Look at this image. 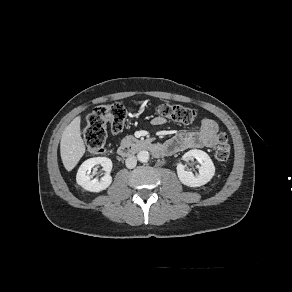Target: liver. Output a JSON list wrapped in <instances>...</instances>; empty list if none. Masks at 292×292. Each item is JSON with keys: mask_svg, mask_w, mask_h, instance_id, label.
Instances as JSON below:
<instances>
[{"mask_svg": "<svg viewBox=\"0 0 292 292\" xmlns=\"http://www.w3.org/2000/svg\"><path fill=\"white\" fill-rule=\"evenodd\" d=\"M80 116L74 118L65 128L60 142L62 163L67 171H71L84 155L86 148L81 137Z\"/></svg>", "mask_w": 292, "mask_h": 292, "instance_id": "liver-1", "label": "liver"}]
</instances>
